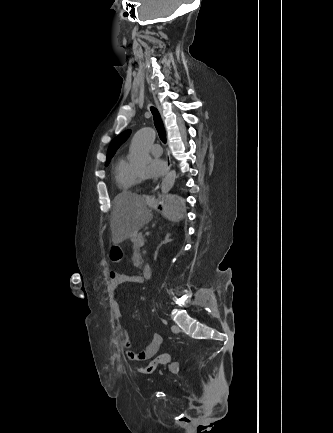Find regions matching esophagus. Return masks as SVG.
Returning a JSON list of instances; mask_svg holds the SVG:
<instances>
[{"instance_id": "1", "label": "esophagus", "mask_w": 333, "mask_h": 433, "mask_svg": "<svg viewBox=\"0 0 333 433\" xmlns=\"http://www.w3.org/2000/svg\"><path fill=\"white\" fill-rule=\"evenodd\" d=\"M170 168H171V155H170L169 149H167V153H166V169H165V172L163 173L161 179L159 180V182L155 186L154 190H157L162 185V183L164 181V178H165L166 174L169 172ZM148 199L149 198H147V200Z\"/></svg>"}]
</instances>
